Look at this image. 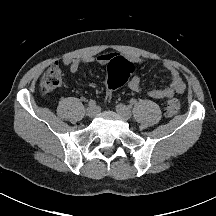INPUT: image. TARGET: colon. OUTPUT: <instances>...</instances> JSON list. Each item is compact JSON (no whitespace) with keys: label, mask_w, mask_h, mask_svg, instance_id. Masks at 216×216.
I'll use <instances>...</instances> for the list:
<instances>
[{"label":"colon","mask_w":216,"mask_h":216,"mask_svg":"<svg viewBox=\"0 0 216 216\" xmlns=\"http://www.w3.org/2000/svg\"><path fill=\"white\" fill-rule=\"evenodd\" d=\"M134 71V64L127 60H118L110 64L107 73V93L106 98L110 101L114 92L123 86ZM62 82V71L58 66L49 68L42 76L40 88L44 92H50L60 86ZM180 110V101L171 97L166 102L165 114L174 116Z\"/></svg>","instance_id":"colon-1"}]
</instances>
